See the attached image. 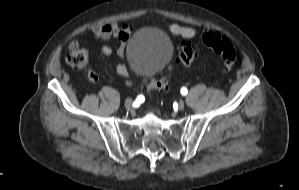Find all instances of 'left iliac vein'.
I'll return each instance as SVG.
<instances>
[{
	"label": "left iliac vein",
	"mask_w": 299,
	"mask_h": 190,
	"mask_svg": "<svg viewBox=\"0 0 299 190\" xmlns=\"http://www.w3.org/2000/svg\"><path fill=\"white\" fill-rule=\"evenodd\" d=\"M185 108V103L183 101H179L178 103V109L183 110Z\"/></svg>",
	"instance_id": "obj_1"
}]
</instances>
